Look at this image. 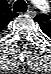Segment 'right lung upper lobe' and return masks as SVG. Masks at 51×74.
<instances>
[{"mask_svg": "<svg viewBox=\"0 0 51 74\" xmlns=\"http://www.w3.org/2000/svg\"><path fill=\"white\" fill-rule=\"evenodd\" d=\"M14 16H15L14 14H10L9 17L7 18L6 23L8 22V20H9L10 18H12V17H14ZM6 23H5V24H6Z\"/></svg>", "mask_w": 51, "mask_h": 74, "instance_id": "cb5924a9", "label": "right lung upper lobe"}]
</instances>
